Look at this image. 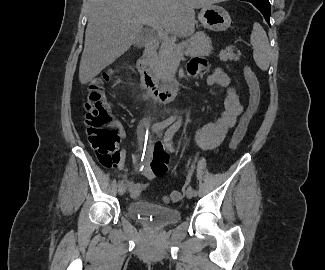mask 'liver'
<instances>
[{
	"mask_svg": "<svg viewBox=\"0 0 325 270\" xmlns=\"http://www.w3.org/2000/svg\"><path fill=\"white\" fill-rule=\"evenodd\" d=\"M214 0H90L79 81L89 83L133 45L144 31L135 20L147 17L167 32L188 37L195 31L194 8Z\"/></svg>",
	"mask_w": 325,
	"mask_h": 270,
	"instance_id": "6515ba94",
	"label": "liver"
}]
</instances>
